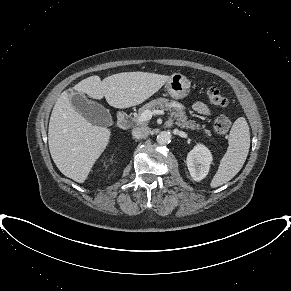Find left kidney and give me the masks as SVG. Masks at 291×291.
Instances as JSON below:
<instances>
[{
    "label": "left kidney",
    "mask_w": 291,
    "mask_h": 291,
    "mask_svg": "<svg viewBox=\"0 0 291 291\" xmlns=\"http://www.w3.org/2000/svg\"><path fill=\"white\" fill-rule=\"evenodd\" d=\"M212 154L203 144H197L187 155L186 163L191 177L201 181L209 172Z\"/></svg>",
    "instance_id": "1"
}]
</instances>
